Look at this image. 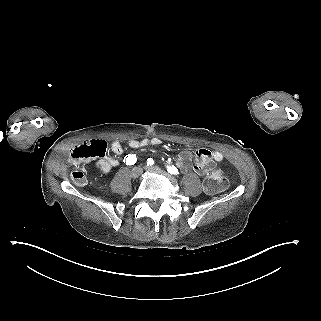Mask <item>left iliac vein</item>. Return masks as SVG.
Here are the masks:
<instances>
[{"label":"left iliac vein","mask_w":321,"mask_h":321,"mask_svg":"<svg viewBox=\"0 0 321 321\" xmlns=\"http://www.w3.org/2000/svg\"><path fill=\"white\" fill-rule=\"evenodd\" d=\"M145 170L151 171V172H161V170L159 168H157V167H148V166H146Z\"/></svg>","instance_id":"4c4485c4"}]
</instances>
